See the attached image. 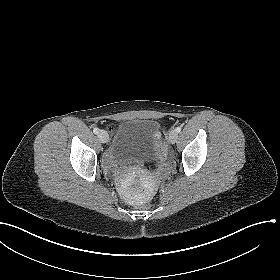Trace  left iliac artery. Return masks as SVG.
I'll return each instance as SVG.
<instances>
[{
    "instance_id": "left-iliac-artery-1",
    "label": "left iliac artery",
    "mask_w": 280,
    "mask_h": 280,
    "mask_svg": "<svg viewBox=\"0 0 280 280\" xmlns=\"http://www.w3.org/2000/svg\"><path fill=\"white\" fill-rule=\"evenodd\" d=\"M176 131L179 133V132L181 131V127L178 126V127L176 128Z\"/></svg>"
}]
</instances>
